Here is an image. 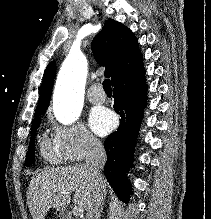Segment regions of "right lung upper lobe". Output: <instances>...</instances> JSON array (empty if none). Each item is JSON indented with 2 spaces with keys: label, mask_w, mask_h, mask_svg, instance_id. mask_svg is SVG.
Returning a JSON list of instances; mask_svg holds the SVG:
<instances>
[{
  "label": "right lung upper lobe",
  "mask_w": 211,
  "mask_h": 219,
  "mask_svg": "<svg viewBox=\"0 0 211 219\" xmlns=\"http://www.w3.org/2000/svg\"><path fill=\"white\" fill-rule=\"evenodd\" d=\"M92 51L96 61L106 67L104 74L111 78V82L142 62V54L134 34L113 19L107 20L93 39ZM55 74L56 65L51 62L44 73L35 115L45 113L49 106Z\"/></svg>",
  "instance_id": "cb5924a9"
}]
</instances>
